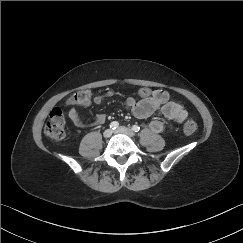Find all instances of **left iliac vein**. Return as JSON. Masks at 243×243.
Listing matches in <instances>:
<instances>
[{
	"label": "left iliac vein",
	"mask_w": 243,
	"mask_h": 243,
	"mask_svg": "<svg viewBox=\"0 0 243 243\" xmlns=\"http://www.w3.org/2000/svg\"><path fill=\"white\" fill-rule=\"evenodd\" d=\"M115 133H122V134H126L129 137H134L135 133L132 129L124 127V126H120L117 129L114 130Z\"/></svg>",
	"instance_id": "obj_1"
}]
</instances>
